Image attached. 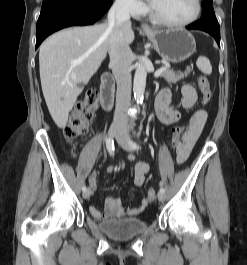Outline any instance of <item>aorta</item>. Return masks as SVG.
Listing matches in <instances>:
<instances>
[{
	"instance_id": "762f6f07",
	"label": "aorta",
	"mask_w": 247,
	"mask_h": 265,
	"mask_svg": "<svg viewBox=\"0 0 247 265\" xmlns=\"http://www.w3.org/2000/svg\"><path fill=\"white\" fill-rule=\"evenodd\" d=\"M147 71L144 65L139 64L136 68L133 82V92L137 103L143 100L145 87H146Z\"/></svg>"
}]
</instances>
